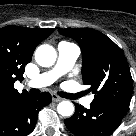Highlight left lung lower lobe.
Returning <instances> with one entry per match:
<instances>
[{"instance_id":"left-lung-lower-lobe-1","label":"left lung lower lobe","mask_w":136,"mask_h":136,"mask_svg":"<svg viewBox=\"0 0 136 136\" xmlns=\"http://www.w3.org/2000/svg\"><path fill=\"white\" fill-rule=\"evenodd\" d=\"M75 107V114L64 120L75 136H109L127 112L122 107L96 101L89 109L78 104Z\"/></svg>"}]
</instances>
